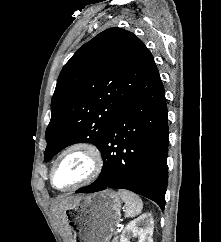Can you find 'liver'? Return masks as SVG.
I'll list each match as a JSON object with an SVG mask.
<instances>
[{"label":"liver","mask_w":221,"mask_h":242,"mask_svg":"<svg viewBox=\"0 0 221 242\" xmlns=\"http://www.w3.org/2000/svg\"><path fill=\"white\" fill-rule=\"evenodd\" d=\"M76 197H69L59 200L55 205V210L57 211V214L59 217L63 220H65V214L64 210L66 207L75 199ZM66 223V222H65Z\"/></svg>","instance_id":"1"}]
</instances>
